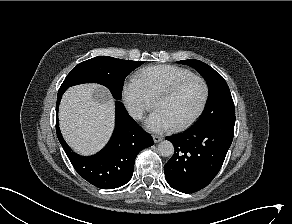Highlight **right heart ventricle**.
<instances>
[{
    "mask_svg": "<svg viewBox=\"0 0 292 224\" xmlns=\"http://www.w3.org/2000/svg\"><path fill=\"white\" fill-rule=\"evenodd\" d=\"M191 75H194V73L189 69L163 64L139 70L135 79L142 85L148 95L155 100L163 89Z\"/></svg>",
    "mask_w": 292,
    "mask_h": 224,
    "instance_id": "obj_1",
    "label": "right heart ventricle"
}]
</instances>
